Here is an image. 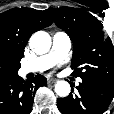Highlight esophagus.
Returning <instances> with one entry per match:
<instances>
[{
  "label": "esophagus",
  "instance_id": "34e87169",
  "mask_svg": "<svg viewBox=\"0 0 114 114\" xmlns=\"http://www.w3.org/2000/svg\"><path fill=\"white\" fill-rule=\"evenodd\" d=\"M57 82V79L56 78H48L47 79V83L51 84V83H55Z\"/></svg>",
  "mask_w": 114,
  "mask_h": 114
}]
</instances>
